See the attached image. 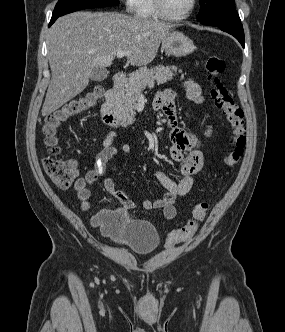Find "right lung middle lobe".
<instances>
[{
  "label": "right lung middle lobe",
  "mask_w": 285,
  "mask_h": 332,
  "mask_svg": "<svg viewBox=\"0 0 285 332\" xmlns=\"http://www.w3.org/2000/svg\"><path fill=\"white\" fill-rule=\"evenodd\" d=\"M117 5L119 0H59L52 16H62L81 9Z\"/></svg>",
  "instance_id": "right-lung-middle-lobe-1"
}]
</instances>
